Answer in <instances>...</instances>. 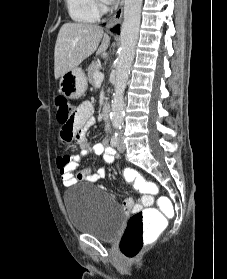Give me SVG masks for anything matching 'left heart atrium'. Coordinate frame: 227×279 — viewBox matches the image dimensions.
I'll return each mask as SVG.
<instances>
[{"instance_id":"left-heart-atrium-1","label":"left heart atrium","mask_w":227,"mask_h":279,"mask_svg":"<svg viewBox=\"0 0 227 279\" xmlns=\"http://www.w3.org/2000/svg\"><path fill=\"white\" fill-rule=\"evenodd\" d=\"M106 3H113L115 0H103Z\"/></svg>"}]
</instances>
